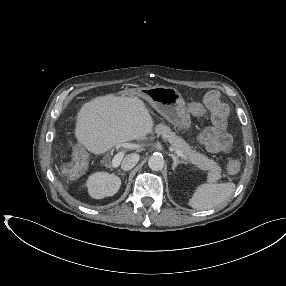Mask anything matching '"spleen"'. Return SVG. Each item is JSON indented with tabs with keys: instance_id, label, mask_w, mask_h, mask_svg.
<instances>
[{
	"instance_id": "obj_1",
	"label": "spleen",
	"mask_w": 286,
	"mask_h": 286,
	"mask_svg": "<svg viewBox=\"0 0 286 286\" xmlns=\"http://www.w3.org/2000/svg\"><path fill=\"white\" fill-rule=\"evenodd\" d=\"M235 184L226 183H205L198 186L189 199V205L197 210L212 209L225 202L235 191Z\"/></svg>"
}]
</instances>
